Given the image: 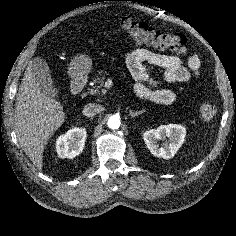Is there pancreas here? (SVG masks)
<instances>
[{
    "label": "pancreas",
    "instance_id": "cf45deb5",
    "mask_svg": "<svg viewBox=\"0 0 236 236\" xmlns=\"http://www.w3.org/2000/svg\"><path fill=\"white\" fill-rule=\"evenodd\" d=\"M106 74H107L106 72H103L101 70L98 72L97 75L93 77V83L95 84V86H93V88L89 91L91 95L99 94V90L101 89V87L104 84V81L106 80Z\"/></svg>",
    "mask_w": 236,
    "mask_h": 236
}]
</instances>
